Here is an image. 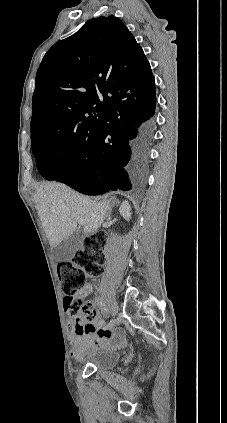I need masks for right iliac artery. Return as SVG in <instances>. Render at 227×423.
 <instances>
[{
  "label": "right iliac artery",
  "instance_id": "1",
  "mask_svg": "<svg viewBox=\"0 0 227 423\" xmlns=\"http://www.w3.org/2000/svg\"><path fill=\"white\" fill-rule=\"evenodd\" d=\"M114 323H116V318H111V321L107 324V326L105 327V330L110 329Z\"/></svg>",
  "mask_w": 227,
  "mask_h": 423
}]
</instances>
